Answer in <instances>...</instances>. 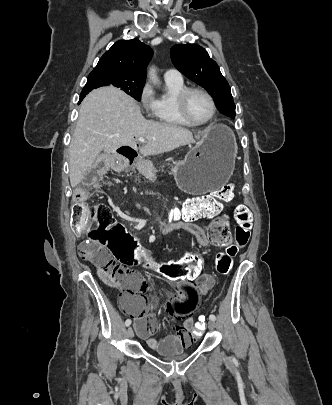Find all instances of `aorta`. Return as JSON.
Returning <instances> with one entry per match:
<instances>
[{"label": "aorta", "instance_id": "obj_1", "mask_svg": "<svg viewBox=\"0 0 332 405\" xmlns=\"http://www.w3.org/2000/svg\"><path fill=\"white\" fill-rule=\"evenodd\" d=\"M149 77L152 81L158 82L157 74H156V69L155 67H151L149 69Z\"/></svg>", "mask_w": 332, "mask_h": 405}]
</instances>
